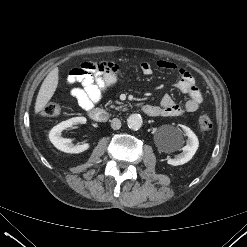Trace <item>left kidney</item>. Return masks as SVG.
Returning a JSON list of instances; mask_svg holds the SVG:
<instances>
[{
	"label": "left kidney",
	"instance_id": "1",
	"mask_svg": "<svg viewBox=\"0 0 247 247\" xmlns=\"http://www.w3.org/2000/svg\"><path fill=\"white\" fill-rule=\"evenodd\" d=\"M183 131L184 135L188 137L187 143L184 147H182V152L175 156L174 159H168V164L173 165V166H178V165H183L190 161L194 154L196 153L198 146H199V141L197 136L194 134V132L186 127L183 126ZM182 133L176 129L175 131L171 132L167 136V143L169 147L172 149H178L182 146Z\"/></svg>",
	"mask_w": 247,
	"mask_h": 247
}]
</instances>
